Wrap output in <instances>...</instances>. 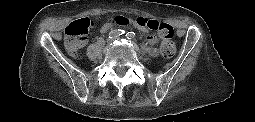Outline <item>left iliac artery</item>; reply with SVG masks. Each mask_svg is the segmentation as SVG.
I'll list each match as a JSON object with an SVG mask.
<instances>
[{
  "mask_svg": "<svg viewBox=\"0 0 255 122\" xmlns=\"http://www.w3.org/2000/svg\"><path fill=\"white\" fill-rule=\"evenodd\" d=\"M134 36H135V33H134V32H128V33L126 34L127 39H133Z\"/></svg>",
  "mask_w": 255,
  "mask_h": 122,
  "instance_id": "obj_1",
  "label": "left iliac artery"
}]
</instances>
